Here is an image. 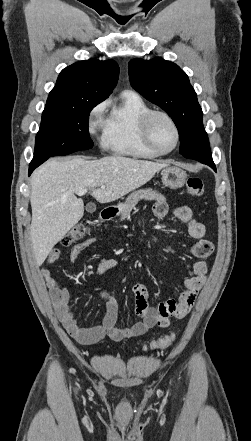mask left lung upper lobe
<instances>
[{"instance_id": "left-lung-upper-lobe-1", "label": "left lung upper lobe", "mask_w": 251, "mask_h": 441, "mask_svg": "<svg viewBox=\"0 0 251 441\" xmlns=\"http://www.w3.org/2000/svg\"><path fill=\"white\" fill-rule=\"evenodd\" d=\"M128 69L131 86L172 117L180 136V154L196 159L190 140L204 129L203 113L186 73L160 57L131 60Z\"/></svg>"}]
</instances>
